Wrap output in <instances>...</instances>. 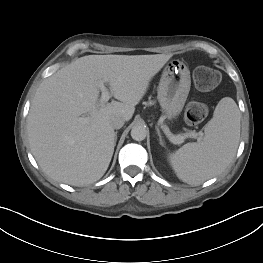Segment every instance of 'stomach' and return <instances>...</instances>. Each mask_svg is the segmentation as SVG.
<instances>
[{
	"label": "stomach",
	"mask_w": 263,
	"mask_h": 263,
	"mask_svg": "<svg viewBox=\"0 0 263 263\" xmlns=\"http://www.w3.org/2000/svg\"><path fill=\"white\" fill-rule=\"evenodd\" d=\"M191 86L190 71L179 60L170 61L164 68L158 86V101L169 119L182 111Z\"/></svg>",
	"instance_id": "1"
}]
</instances>
